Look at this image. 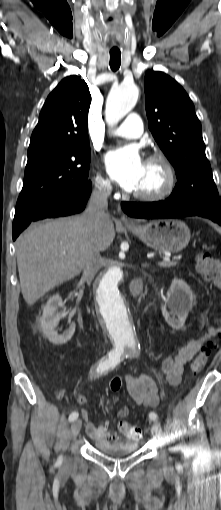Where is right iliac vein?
Segmentation results:
<instances>
[{"instance_id": "obj_1", "label": "right iliac vein", "mask_w": 221, "mask_h": 510, "mask_svg": "<svg viewBox=\"0 0 221 510\" xmlns=\"http://www.w3.org/2000/svg\"><path fill=\"white\" fill-rule=\"evenodd\" d=\"M81 426H82V421L80 419H77L73 422V424L71 426L72 438H75L79 434Z\"/></svg>"}]
</instances>
